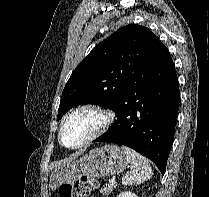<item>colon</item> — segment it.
<instances>
[{
  "mask_svg": "<svg viewBox=\"0 0 209 197\" xmlns=\"http://www.w3.org/2000/svg\"><path fill=\"white\" fill-rule=\"evenodd\" d=\"M97 182L90 177L82 176L80 179L60 185V197H88L96 188Z\"/></svg>",
  "mask_w": 209,
  "mask_h": 197,
  "instance_id": "colon-1",
  "label": "colon"
}]
</instances>
